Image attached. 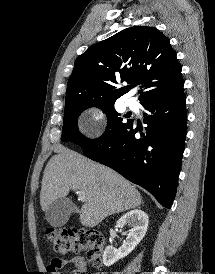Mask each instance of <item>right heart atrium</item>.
Instances as JSON below:
<instances>
[{
  "label": "right heart atrium",
  "mask_w": 215,
  "mask_h": 274,
  "mask_svg": "<svg viewBox=\"0 0 215 274\" xmlns=\"http://www.w3.org/2000/svg\"><path fill=\"white\" fill-rule=\"evenodd\" d=\"M106 129V115L98 107H90L84 114L81 131L91 139L99 138Z\"/></svg>",
  "instance_id": "1"
}]
</instances>
